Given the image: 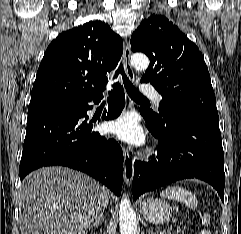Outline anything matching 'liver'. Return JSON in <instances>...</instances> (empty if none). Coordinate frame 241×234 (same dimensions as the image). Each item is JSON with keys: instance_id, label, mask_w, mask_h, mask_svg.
I'll return each mask as SVG.
<instances>
[{"instance_id": "1", "label": "liver", "mask_w": 241, "mask_h": 234, "mask_svg": "<svg viewBox=\"0 0 241 234\" xmlns=\"http://www.w3.org/2000/svg\"><path fill=\"white\" fill-rule=\"evenodd\" d=\"M108 190L66 167H43L19 188L21 234H85L101 210Z\"/></svg>"}]
</instances>
